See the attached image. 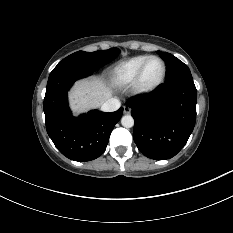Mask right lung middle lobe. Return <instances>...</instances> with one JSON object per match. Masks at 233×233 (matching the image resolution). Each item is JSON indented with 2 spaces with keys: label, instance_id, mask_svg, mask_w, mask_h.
Instances as JSON below:
<instances>
[{
  "label": "right lung middle lobe",
  "instance_id": "right-lung-middle-lobe-1",
  "mask_svg": "<svg viewBox=\"0 0 233 233\" xmlns=\"http://www.w3.org/2000/svg\"><path fill=\"white\" fill-rule=\"evenodd\" d=\"M119 53L118 48L95 52L78 51L64 58L50 75L62 72H94L112 61Z\"/></svg>",
  "mask_w": 233,
  "mask_h": 233
}]
</instances>
